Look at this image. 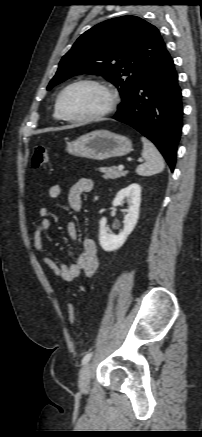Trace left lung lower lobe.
Instances as JSON below:
<instances>
[{
  "label": "left lung lower lobe",
  "mask_w": 202,
  "mask_h": 437,
  "mask_svg": "<svg viewBox=\"0 0 202 437\" xmlns=\"http://www.w3.org/2000/svg\"><path fill=\"white\" fill-rule=\"evenodd\" d=\"M182 116L178 75L173 59L167 52L129 99L118 107L113 118L149 138L173 171L183 126Z\"/></svg>",
  "instance_id": "obj_1"
}]
</instances>
